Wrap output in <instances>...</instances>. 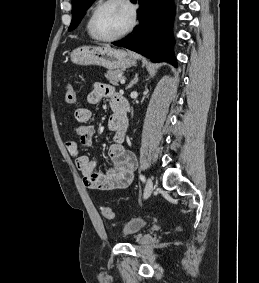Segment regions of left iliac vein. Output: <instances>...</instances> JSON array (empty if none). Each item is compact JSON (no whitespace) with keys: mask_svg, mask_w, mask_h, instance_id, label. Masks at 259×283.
<instances>
[{"mask_svg":"<svg viewBox=\"0 0 259 283\" xmlns=\"http://www.w3.org/2000/svg\"><path fill=\"white\" fill-rule=\"evenodd\" d=\"M154 186L153 181L151 178L147 179L145 192H144V198L147 199L153 192Z\"/></svg>","mask_w":259,"mask_h":283,"instance_id":"obj_1","label":"left iliac vein"}]
</instances>
